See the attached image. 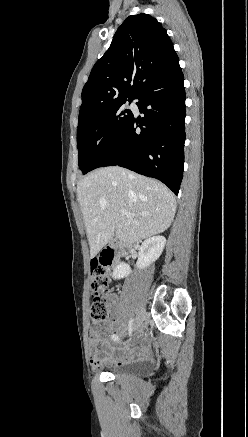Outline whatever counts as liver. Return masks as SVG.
Returning <instances> with one entry per match:
<instances>
[{"label":"liver","instance_id":"1","mask_svg":"<svg viewBox=\"0 0 248 437\" xmlns=\"http://www.w3.org/2000/svg\"><path fill=\"white\" fill-rule=\"evenodd\" d=\"M90 256L115 236L131 245L167 230L175 216L174 194L161 182L124 168L104 167L77 183ZM121 209L134 214L123 216Z\"/></svg>","mask_w":248,"mask_h":437}]
</instances>
